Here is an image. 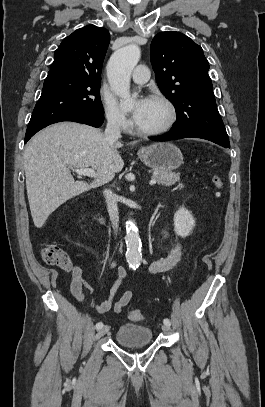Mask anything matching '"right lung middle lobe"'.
<instances>
[{
  "instance_id": "right-lung-middle-lobe-1",
  "label": "right lung middle lobe",
  "mask_w": 265,
  "mask_h": 407,
  "mask_svg": "<svg viewBox=\"0 0 265 407\" xmlns=\"http://www.w3.org/2000/svg\"><path fill=\"white\" fill-rule=\"evenodd\" d=\"M100 82L64 75L47 77L26 132L76 113L103 114Z\"/></svg>"
}]
</instances>
